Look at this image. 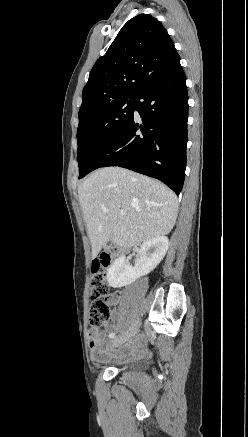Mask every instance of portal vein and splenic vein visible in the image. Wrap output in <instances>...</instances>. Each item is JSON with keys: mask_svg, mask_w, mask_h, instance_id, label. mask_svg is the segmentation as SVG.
Segmentation results:
<instances>
[{"mask_svg": "<svg viewBox=\"0 0 248 437\" xmlns=\"http://www.w3.org/2000/svg\"><path fill=\"white\" fill-rule=\"evenodd\" d=\"M120 214H121V215H125L126 212H125L124 210H120Z\"/></svg>", "mask_w": 248, "mask_h": 437, "instance_id": "1", "label": "portal vein and splenic vein"}]
</instances>
